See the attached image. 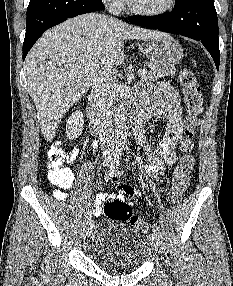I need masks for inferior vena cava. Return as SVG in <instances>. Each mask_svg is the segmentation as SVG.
Instances as JSON below:
<instances>
[{"label": "inferior vena cava", "mask_w": 233, "mask_h": 286, "mask_svg": "<svg viewBox=\"0 0 233 286\" xmlns=\"http://www.w3.org/2000/svg\"><path fill=\"white\" fill-rule=\"evenodd\" d=\"M92 92L96 103V121L100 133L108 135L107 144L113 145V122H112V79L111 69L102 67L99 69L93 81ZM104 141V139H102ZM105 144V143H103Z\"/></svg>", "instance_id": "602c4592"}]
</instances>
